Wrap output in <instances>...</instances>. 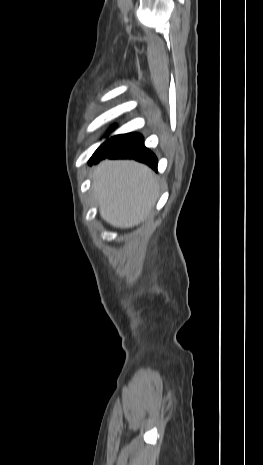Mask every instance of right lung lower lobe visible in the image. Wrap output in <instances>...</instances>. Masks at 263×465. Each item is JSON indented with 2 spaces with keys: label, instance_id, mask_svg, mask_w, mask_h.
Wrapping results in <instances>:
<instances>
[{
  "label": "right lung lower lobe",
  "instance_id": "obj_1",
  "mask_svg": "<svg viewBox=\"0 0 263 465\" xmlns=\"http://www.w3.org/2000/svg\"><path fill=\"white\" fill-rule=\"evenodd\" d=\"M105 158H132L148 164L153 169H157V158L144 146L142 135L137 133L111 137L100 146L90 159L89 164H96Z\"/></svg>",
  "mask_w": 263,
  "mask_h": 465
}]
</instances>
